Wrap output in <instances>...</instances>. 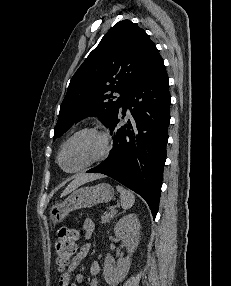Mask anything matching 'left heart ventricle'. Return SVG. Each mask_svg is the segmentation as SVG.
<instances>
[{"label":"left heart ventricle","mask_w":231,"mask_h":286,"mask_svg":"<svg viewBox=\"0 0 231 286\" xmlns=\"http://www.w3.org/2000/svg\"><path fill=\"white\" fill-rule=\"evenodd\" d=\"M102 149L98 136L84 133L74 138L65 148L62 166L65 170H74L97 157Z\"/></svg>","instance_id":"1"}]
</instances>
